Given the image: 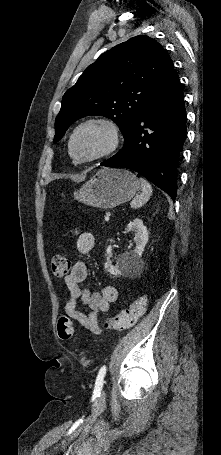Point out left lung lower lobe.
<instances>
[{"mask_svg": "<svg viewBox=\"0 0 221 455\" xmlns=\"http://www.w3.org/2000/svg\"><path fill=\"white\" fill-rule=\"evenodd\" d=\"M185 137L184 96L173 69L138 114L123 148L101 165L134 170L175 200L177 166Z\"/></svg>", "mask_w": 221, "mask_h": 455, "instance_id": "left-lung-lower-lobe-1", "label": "left lung lower lobe"}]
</instances>
